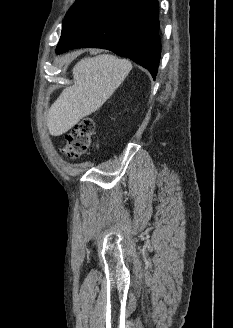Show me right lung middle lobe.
<instances>
[{
  "label": "right lung middle lobe",
  "mask_w": 233,
  "mask_h": 328,
  "mask_svg": "<svg viewBox=\"0 0 233 328\" xmlns=\"http://www.w3.org/2000/svg\"><path fill=\"white\" fill-rule=\"evenodd\" d=\"M92 0H76L73 6L70 8V10L67 12L66 17L74 13L75 11L83 8L88 3H90Z\"/></svg>",
  "instance_id": "obj_1"
}]
</instances>
